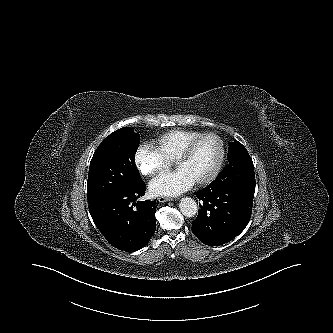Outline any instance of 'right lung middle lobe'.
<instances>
[{"instance_id":"1","label":"right lung middle lobe","mask_w":333,"mask_h":333,"mask_svg":"<svg viewBox=\"0 0 333 333\" xmlns=\"http://www.w3.org/2000/svg\"><path fill=\"white\" fill-rule=\"evenodd\" d=\"M139 142V134L130 127L116 130L101 142L90 162L88 203L143 181L135 165Z\"/></svg>"}]
</instances>
